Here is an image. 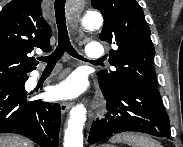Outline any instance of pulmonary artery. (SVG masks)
<instances>
[{"label": "pulmonary artery", "instance_id": "1", "mask_svg": "<svg viewBox=\"0 0 183 147\" xmlns=\"http://www.w3.org/2000/svg\"><path fill=\"white\" fill-rule=\"evenodd\" d=\"M87 57L91 59H99L104 55V49L100 43H89L85 48Z\"/></svg>", "mask_w": 183, "mask_h": 147}]
</instances>
